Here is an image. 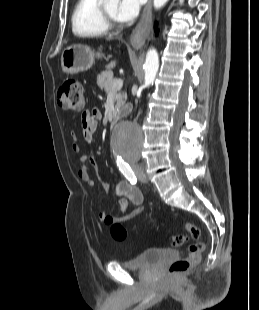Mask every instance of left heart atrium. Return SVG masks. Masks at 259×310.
Masks as SVG:
<instances>
[{"label":"left heart atrium","mask_w":259,"mask_h":310,"mask_svg":"<svg viewBox=\"0 0 259 310\" xmlns=\"http://www.w3.org/2000/svg\"><path fill=\"white\" fill-rule=\"evenodd\" d=\"M143 4V0H120L116 10V20L130 22L134 20Z\"/></svg>","instance_id":"obj_1"}]
</instances>
